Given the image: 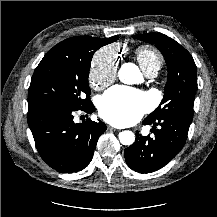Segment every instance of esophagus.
<instances>
[{
	"instance_id": "1",
	"label": "esophagus",
	"mask_w": 217,
	"mask_h": 217,
	"mask_svg": "<svg viewBox=\"0 0 217 217\" xmlns=\"http://www.w3.org/2000/svg\"><path fill=\"white\" fill-rule=\"evenodd\" d=\"M107 128H108V130H111V131H117L116 128H114V127H112V126H110V125H108Z\"/></svg>"
}]
</instances>
